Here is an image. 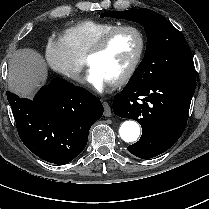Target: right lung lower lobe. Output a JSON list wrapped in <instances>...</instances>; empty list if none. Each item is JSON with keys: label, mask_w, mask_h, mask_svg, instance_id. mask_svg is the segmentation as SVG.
Instances as JSON below:
<instances>
[{"label": "right lung lower lobe", "mask_w": 209, "mask_h": 209, "mask_svg": "<svg viewBox=\"0 0 209 209\" xmlns=\"http://www.w3.org/2000/svg\"><path fill=\"white\" fill-rule=\"evenodd\" d=\"M6 94L22 142L39 158L59 165L83 151L89 129L104 110L96 96L61 78L43 86L33 100Z\"/></svg>", "instance_id": "obj_1"}]
</instances>
